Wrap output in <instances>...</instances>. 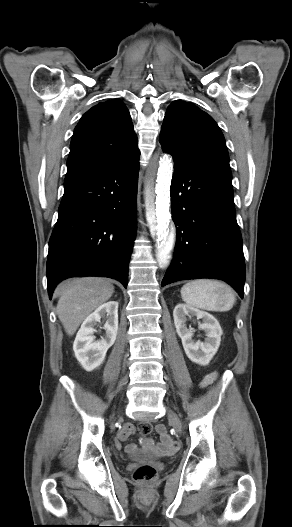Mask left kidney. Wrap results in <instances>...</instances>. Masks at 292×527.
Listing matches in <instances>:
<instances>
[{"instance_id": "5707ae66", "label": "left kidney", "mask_w": 292, "mask_h": 527, "mask_svg": "<svg viewBox=\"0 0 292 527\" xmlns=\"http://www.w3.org/2000/svg\"><path fill=\"white\" fill-rule=\"evenodd\" d=\"M187 316H196L197 319L203 320L199 328L206 333L204 342H195L192 339L193 329H188L186 326ZM173 317L187 357L196 364L207 365L216 354L221 342L222 329L217 319L207 312L185 304H178L175 307Z\"/></svg>"}]
</instances>
